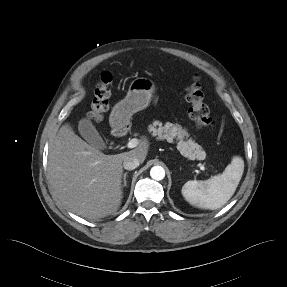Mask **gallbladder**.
<instances>
[{
  "mask_svg": "<svg viewBox=\"0 0 287 287\" xmlns=\"http://www.w3.org/2000/svg\"><path fill=\"white\" fill-rule=\"evenodd\" d=\"M78 131L80 135L93 147L98 149L105 147L103 139L89 119L83 118L79 121Z\"/></svg>",
  "mask_w": 287,
  "mask_h": 287,
  "instance_id": "1",
  "label": "gallbladder"
}]
</instances>
